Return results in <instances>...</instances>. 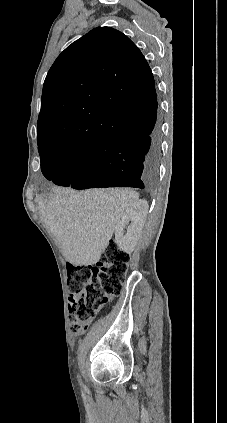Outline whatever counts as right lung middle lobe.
<instances>
[{
	"instance_id": "dd1d6c3e",
	"label": "right lung middle lobe",
	"mask_w": 227,
	"mask_h": 423,
	"mask_svg": "<svg viewBox=\"0 0 227 423\" xmlns=\"http://www.w3.org/2000/svg\"><path fill=\"white\" fill-rule=\"evenodd\" d=\"M38 150L41 158V164L50 162L52 164L74 161L86 154L87 150L68 147L57 141L43 140L38 141Z\"/></svg>"
}]
</instances>
